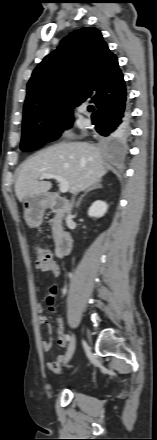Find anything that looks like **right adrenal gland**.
Segmentation results:
<instances>
[{
	"mask_svg": "<svg viewBox=\"0 0 157 440\" xmlns=\"http://www.w3.org/2000/svg\"><path fill=\"white\" fill-rule=\"evenodd\" d=\"M100 188H102V185L100 184V182H97V183L93 184L91 187H89V188L85 191V193L79 198V200H78V202H77V204H76V207L78 208V207L80 206V203H81V201H82V198H83L88 192H90V191H92V190H95V189H100Z\"/></svg>",
	"mask_w": 157,
	"mask_h": 440,
	"instance_id": "right-adrenal-gland-1",
	"label": "right adrenal gland"
}]
</instances>
